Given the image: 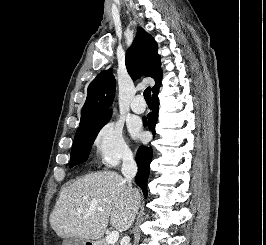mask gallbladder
<instances>
[{"instance_id":"obj_1","label":"gallbladder","mask_w":266,"mask_h":245,"mask_svg":"<svg viewBox=\"0 0 266 245\" xmlns=\"http://www.w3.org/2000/svg\"><path fill=\"white\" fill-rule=\"evenodd\" d=\"M77 239H69L68 245H76Z\"/></svg>"}]
</instances>
